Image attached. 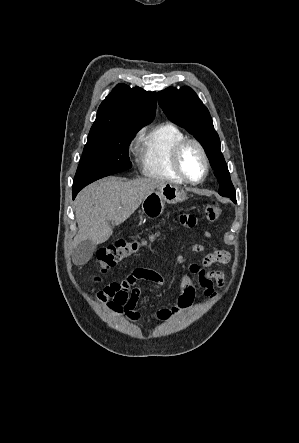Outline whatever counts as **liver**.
Masks as SVG:
<instances>
[{"label": "liver", "instance_id": "obj_1", "mask_svg": "<svg viewBox=\"0 0 299 443\" xmlns=\"http://www.w3.org/2000/svg\"><path fill=\"white\" fill-rule=\"evenodd\" d=\"M165 184L153 178L127 180L111 176L84 188L75 200L78 233L74 246L86 240L95 244L107 241L112 235L110 222L123 223L150 193Z\"/></svg>", "mask_w": 299, "mask_h": 443}]
</instances>
